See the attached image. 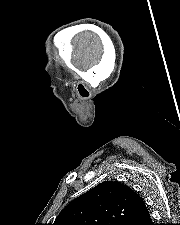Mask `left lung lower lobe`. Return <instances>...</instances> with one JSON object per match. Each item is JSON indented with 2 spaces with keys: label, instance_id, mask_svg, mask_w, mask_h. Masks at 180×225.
Masks as SVG:
<instances>
[{
  "label": "left lung lower lobe",
  "instance_id": "obj_1",
  "mask_svg": "<svg viewBox=\"0 0 180 225\" xmlns=\"http://www.w3.org/2000/svg\"><path fill=\"white\" fill-rule=\"evenodd\" d=\"M127 225H154L147 208L138 216L133 218Z\"/></svg>",
  "mask_w": 180,
  "mask_h": 225
}]
</instances>
